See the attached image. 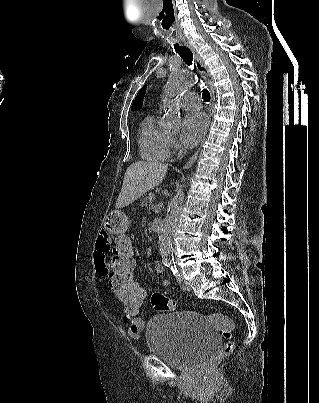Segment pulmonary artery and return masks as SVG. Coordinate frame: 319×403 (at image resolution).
Here are the masks:
<instances>
[{"mask_svg": "<svg viewBox=\"0 0 319 403\" xmlns=\"http://www.w3.org/2000/svg\"><path fill=\"white\" fill-rule=\"evenodd\" d=\"M181 104L186 108L194 110L200 107L201 101L197 94L189 92L182 97Z\"/></svg>", "mask_w": 319, "mask_h": 403, "instance_id": "1", "label": "pulmonary artery"}]
</instances>
